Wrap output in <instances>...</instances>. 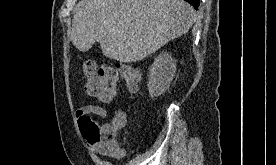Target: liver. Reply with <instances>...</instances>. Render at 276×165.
<instances>
[{
    "label": "liver",
    "instance_id": "obj_1",
    "mask_svg": "<svg viewBox=\"0 0 276 165\" xmlns=\"http://www.w3.org/2000/svg\"><path fill=\"white\" fill-rule=\"evenodd\" d=\"M194 21L193 7L183 0H87L69 37L82 52L99 43L107 58L131 63L186 34Z\"/></svg>",
    "mask_w": 276,
    "mask_h": 165
}]
</instances>
